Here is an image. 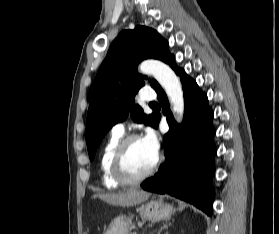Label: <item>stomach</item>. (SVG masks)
Instances as JSON below:
<instances>
[{
	"instance_id": "1",
	"label": "stomach",
	"mask_w": 279,
	"mask_h": 234,
	"mask_svg": "<svg viewBox=\"0 0 279 234\" xmlns=\"http://www.w3.org/2000/svg\"><path fill=\"white\" fill-rule=\"evenodd\" d=\"M173 212V208L161 201L151 200L139 209L140 216L143 220L160 221L167 219ZM132 221L125 215H120L113 219L104 234H128Z\"/></svg>"
}]
</instances>
